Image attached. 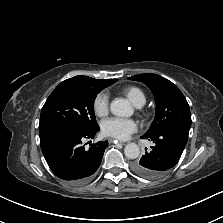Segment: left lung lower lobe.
I'll return each mask as SVG.
<instances>
[{
  "label": "left lung lower lobe",
  "instance_id": "obj_1",
  "mask_svg": "<svg viewBox=\"0 0 223 223\" xmlns=\"http://www.w3.org/2000/svg\"><path fill=\"white\" fill-rule=\"evenodd\" d=\"M152 140L155 145L136 161L133 171L144 178L155 179L161 177L173 168L179 161L188 140V133L171 128L153 136H142Z\"/></svg>",
  "mask_w": 223,
  "mask_h": 223
}]
</instances>
